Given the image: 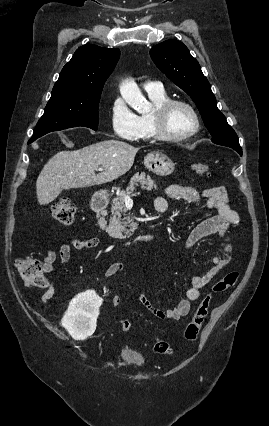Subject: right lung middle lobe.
I'll list each match as a JSON object with an SVG mask.
<instances>
[{"mask_svg":"<svg viewBox=\"0 0 269 426\" xmlns=\"http://www.w3.org/2000/svg\"><path fill=\"white\" fill-rule=\"evenodd\" d=\"M100 96L69 97L64 93H52L29 143L49 132L71 127L97 130Z\"/></svg>","mask_w":269,"mask_h":426,"instance_id":"1","label":"right lung middle lobe"}]
</instances>
